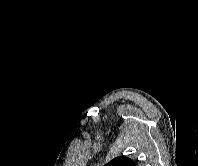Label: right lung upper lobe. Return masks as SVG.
Segmentation results:
<instances>
[{"mask_svg": "<svg viewBox=\"0 0 198 166\" xmlns=\"http://www.w3.org/2000/svg\"><path fill=\"white\" fill-rule=\"evenodd\" d=\"M105 166H136V164L125 156H120L107 163Z\"/></svg>", "mask_w": 198, "mask_h": 166, "instance_id": "1", "label": "right lung upper lobe"}]
</instances>
